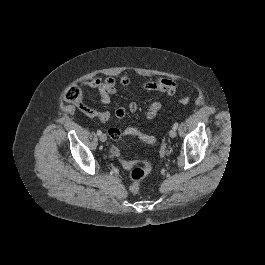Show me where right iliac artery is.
<instances>
[{
    "label": "right iliac artery",
    "instance_id": "82829eb1",
    "mask_svg": "<svg viewBox=\"0 0 265 265\" xmlns=\"http://www.w3.org/2000/svg\"><path fill=\"white\" fill-rule=\"evenodd\" d=\"M102 134V131L101 130H97V135H101Z\"/></svg>",
    "mask_w": 265,
    "mask_h": 265
}]
</instances>
